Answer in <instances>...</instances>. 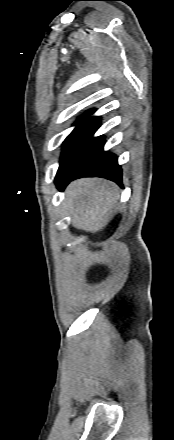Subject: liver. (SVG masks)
I'll use <instances>...</instances> for the list:
<instances>
[{"instance_id":"6515ba94","label":"liver","mask_w":174,"mask_h":440,"mask_svg":"<svg viewBox=\"0 0 174 440\" xmlns=\"http://www.w3.org/2000/svg\"><path fill=\"white\" fill-rule=\"evenodd\" d=\"M119 197L115 183L83 178L68 185L64 203L73 227L95 233L110 222L119 206Z\"/></svg>"}]
</instances>
